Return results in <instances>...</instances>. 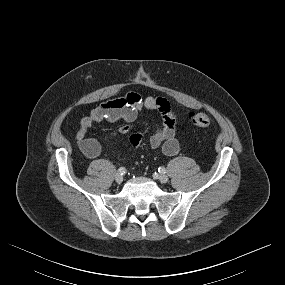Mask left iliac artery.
Here are the masks:
<instances>
[{
    "label": "left iliac artery",
    "mask_w": 285,
    "mask_h": 285,
    "mask_svg": "<svg viewBox=\"0 0 285 285\" xmlns=\"http://www.w3.org/2000/svg\"><path fill=\"white\" fill-rule=\"evenodd\" d=\"M159 173H166V169L164 167L158 168Z\"/></svg>",
    "instance_id": "44dca946"
}]
</instances>
